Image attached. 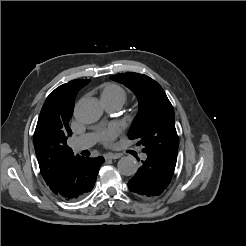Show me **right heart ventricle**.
<instances>
[{
    "label": "right heart ventricle",
    "mask_w": 246,
    "mask_h": 246,
    "mask_svg": "<svg viewBox=\"0 0 246 246\" xmlns=\"http://www.w3.org/2000/svg\"><path fill=\"white\" fill-rule=\"evenodd\" d=\"M101 100L105 105L117 104L122 106L127 100L126 90L116 83H105L101 87Z\"/></svg>",
    "instance_id": "right-heart-ventricle-1"
}]
</instances>
